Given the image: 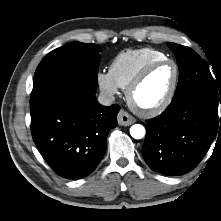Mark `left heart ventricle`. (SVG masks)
<instances>
[{
    "instance_id": "obj_1",
    "label": "left heart ventricle",
    "mask_w": 221,
    "mask_h": 221,
    "mask_svg": "<svg viewBox=\"0 0 221 221\" xmlns=\"http://www.w3.org/2000/svg\"><path fill=\"white\" fill-rule=\"evenodd\" d=\"M174 78V68L164 64L154 68L134 93L137 105L150 108L160 103L166 96Z\"/></svg>"
}]
</instances>
